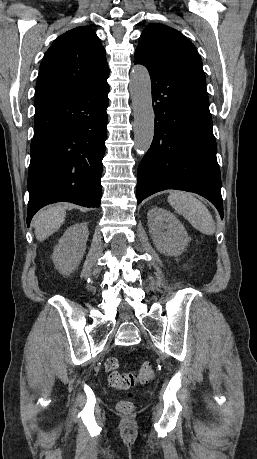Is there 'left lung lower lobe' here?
<instances>
[{"label": "left lung lower lobe", "mask_w": 257, "mask_h": 459, "mask_svg": "<svg viewBox=\"0 0 257 459\" xmlns=\"http://www.w3.org/2000/svg\"><path fill=\"white\" fill-rule=\"evenodd\" d=\"M148 71L155 126L151 147L138 168V204L156 192L178 189L207 198L223 217L205 75L196 71Z\"/></svg>", "instance_id": "obj_1"}]
</instances>
